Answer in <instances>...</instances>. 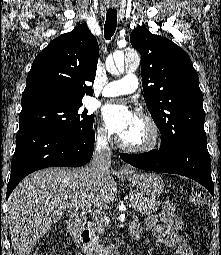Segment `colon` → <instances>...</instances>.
I'll return each mask as SVG.
<instances>
[{
  "label": "colon",
  "instance_id": "colon-1",
  "mask_svg": "<svg viewBox=\"0 0 221 255\" xmlns=\"http://www.w3.org/2000/svg\"><path fill=\"white\" fill-rule=\"evenodd\" d=\"M191 203L195 206H203L206 203V196L202 192H196L191 196ZM32 255H51V253L46 250H38Z\"/></svg>",
  "mask_w": 221,
  "mask_h": 255
}]
</instances>
